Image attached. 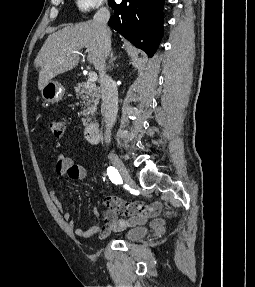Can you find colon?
<instances>
[{"label": "colon", "instance_id": "1", "mask_svg": "<svg viewBox=\"0 0 255 287\" xmlns=\"http://www.w3.org/2000/svg\"><path fill=\"white\" fill-rule=\"evenodd\" d=\"M48 128L55 138H61L64 134V123L61 121H50Z\"/></svg>", "mask_w": 255, "mask_h": 287}]
</instances>
